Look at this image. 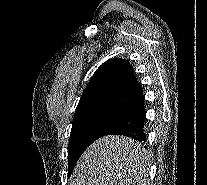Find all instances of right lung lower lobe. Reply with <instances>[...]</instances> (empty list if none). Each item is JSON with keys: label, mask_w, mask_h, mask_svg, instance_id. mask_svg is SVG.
Returning a JSON list of instances; mask_svg holds the SVG:
<instances>
[{"label": "right lung lower lobe", "mask_w": 207, "mask_h": 185, "mask_svg": "<svg viewBox=\"0 0 207 185\" xmlns=\"http://www.w3.org/2000/svg\"><path fill=\"white\" fill-rule=\"evenodd\" d=\"M144 100L145 98L142 95L129 108L124 110L102 136L116 134L131 137L137 141H145L144 123L146 112Z\"/></svg>", "instance_id": "1"}]
</instances>
